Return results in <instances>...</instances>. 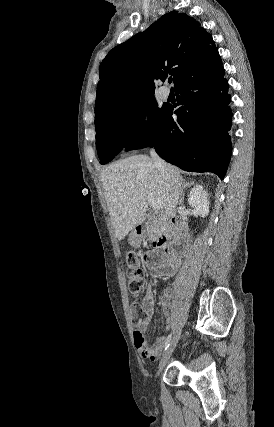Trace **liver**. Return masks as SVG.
I'll use <instances>...</instances> for the list:
<instances>
[{"label":"liver","mask_w":274,"mask_h":427,"mask_svg":"<svg viewBox=\"0 0 274 427\" xmlns=\"http://www.w3.org/2000/svg\"><path fill=\"white\" fill-rule=\"evenodd\" d=\"M101 180L111 223L117 239L143 223L147 196L161 200L166 215L175 217L185 184L179 170L166 164L156 168L149 156H128L102 170Z\"/></svg>","instance_id":"liver-1"}]
</instances>
